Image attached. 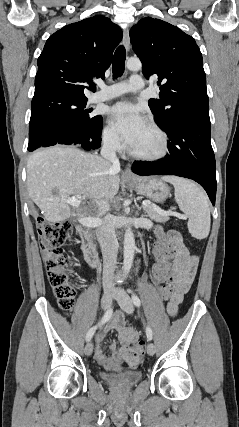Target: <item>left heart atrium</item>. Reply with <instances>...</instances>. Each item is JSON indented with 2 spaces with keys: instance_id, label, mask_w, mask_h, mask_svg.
<instances>
[{
  "instance_id": "obj_1",
  "label": "left heart atrium",
  "mask_w": 239,
  "mask_h": 427,
  "mask_svg": "<svg viewBox=\"0 0 239 427\" xmlns=\"http://www.w3.org/2000/svg\"><path fill=\"white\" fill-rule=\"evenodd\" d=\"M110 117L113 127L129 146L147 123L141 109L129 102H119L112 106Z\"/></svg>"
}]
</instances>
